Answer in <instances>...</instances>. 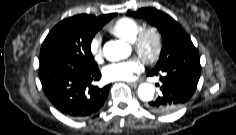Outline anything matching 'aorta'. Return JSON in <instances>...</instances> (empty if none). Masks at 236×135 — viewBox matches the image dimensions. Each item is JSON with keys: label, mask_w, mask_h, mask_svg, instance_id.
Masks as SVG:
<instances>
[{"label": "aorta", "mask_w": 236, "mask_h": 135, "mask_svg": "<svg viewBox=\"0 0 236 135\" xmlns=\"http://www.w3.org/2000/svg\"><path fill=\"white\" fill-rule=\"evenodd\" d=\"M130 46L124 41H109L103 47V53L109 61H119L130 55ZM155 87L149 83H143L138 87V96L142 101H151L154 97Z\"/></svg>", "instance_id": "obj_1"}]
</instances>
